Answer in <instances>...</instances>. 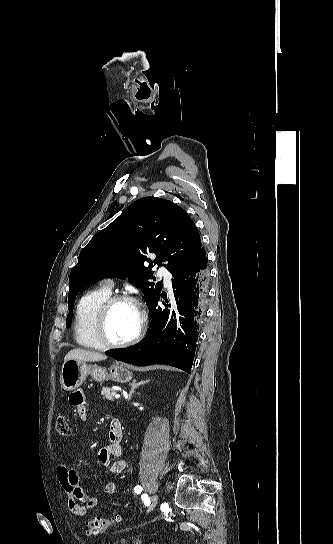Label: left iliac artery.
I'll return each mask as SVG.
<instances>
[{
  "instance_id": "1",
  "label": "left iliac artery",
  "mask_w": 333,
  "mask_h": 544,
  "mask_svg": "<svg viewBox=\"0 0 333 544\" xmlns=\"http://www.w3.org/2000/svg\"><path fill=\"white\" fill-rule=\"evenodd\" d=\"M134 492H135L136 494H140V493L142 492V487L139 486V485L136 486V487L134 488Z\"/></svg>"
}]
</instances>
